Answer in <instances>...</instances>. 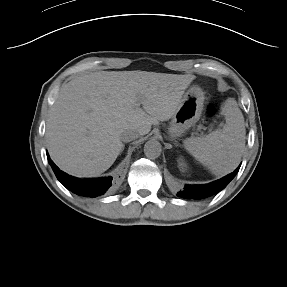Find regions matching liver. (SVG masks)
Segmentation results:
<instances>
[{"label": "liver", "instance_id": "6515ba94", "mask_svg": "<svg viewBox=\"0 0 287 287\" xmlns=\"http://www.w3.org/2000/svg\"><path fill=\"white\" fill-rule=\"evenodd\" d=\"M193 76L102 71L75 77L60 90L47 120L50 155L79 176L99 175L122 152L121 134L151 130V117L167 121L177 112ZM140 104L142 112L136 111Z\"/></svg>", "mask_w": 287, "mask_h": 287}]
</instances>
